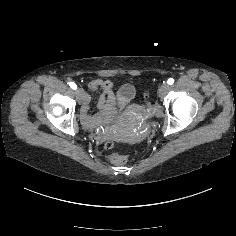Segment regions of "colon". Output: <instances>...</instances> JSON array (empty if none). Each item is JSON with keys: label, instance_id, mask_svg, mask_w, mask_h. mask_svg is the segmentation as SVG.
I'll return each instance as SVG.
<instances>
[{"label": "colon", "instance_id": "1", "mask_svg": "<svg viewBox=\"0 0 236 236\" xmlns=\"http://www.w3.org/2000/svg\"><path fill=\"white\" fill-rule=\"evenodd\" d=\"M144 98L146 99L147 101V107L148 109L151 108V104L150 102L148 101V98H149V94L148 92H145L144 93ZM113 144L111 142H107L105 144V147L107 149H110L112 148ZM111 161L116 164V165H124L126 162H127V157L125 155H122V154H112L111 155Z\"/></svg>", "mask_w": 236, "mask_h": 236}]
</instances>
